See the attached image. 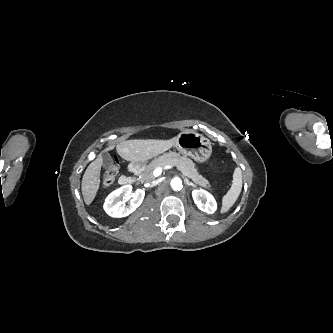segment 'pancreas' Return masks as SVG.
<instances>
[{
  "mask_svg": "<svg viewBox=\"0 0 333 333\" xmlns=\"http://www.w3.org/2000/svg\"><path fill=\"white\" fill-rule=\"evenodd\" d=\"M166 165L176 166L183 175L192 179L197 185L210 189L209 181L200 175L191 159L186 156H181L176 152H168L155 158L146 168L140 173L139 180L143 182H151L154 180L153 171L158 167Z\"/></svg>",
  "mask_w": 333,
  "mask_h": 333,
  "instance_id": "pancreas-1",
  "label": "pancreas"
}]
</instances>
